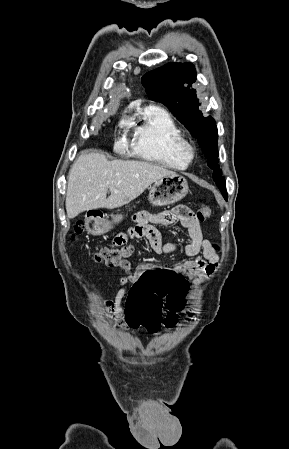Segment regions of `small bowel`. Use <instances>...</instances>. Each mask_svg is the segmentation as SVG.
Instances as JSON below:
<instances>
[{"label":"small bowel","mask_w":289,"mask_h":449,"mask_svg":"<svg viewBox=\"0 0 289 449\" xmlns=\"http://www.w3.org/2000/svg\"><path fill=\"white\" fill-rule=\"evenodd\" d=\"M134 221V226L124 232L118 233L113 238V245H125L130 238H145L155 253L163 255L172 254L177 250V245L173 242H163L161 234L155 225H171L176 222H181L187 229L189 235V241L184 247V253L187 259L176 263L172 267L174 271H180L182 277L191 280L195 285H199L215 270L219 259L218 254L212 243L203 238L198 220L186 206H178L161 213L141 211L134 216ZM118 267L125 271V275L118 280L119 289L115 298L106 301L107 317L116 327L126 329L130 325L121 306V302L127 295V287L131 285V289H133V283L136 282L145 268L157 267L150 263H144L139 265L135 270H132L128 260L120 262ZM187 315L189 318L193 317L191 311Z\"/></svg>","instance_id":"c3829d8e"}]
</instances>
